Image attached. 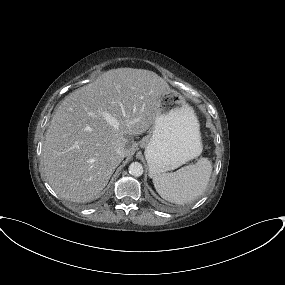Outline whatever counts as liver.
<instances>
[{
	"label": "liver",
	"mask_w": 285,
	"mask_h": 285,
	"mask_svg": "<svg viewBox=\"0 0 285 285\" xmlns=\"http://www.w3.org/2000/svg\"><path fill=\"white\" fill-rule=\"evenodd\" d=\"M164 89L148 70L118 68L69 94L56 109L43 145L44 171L54 191L78 203L97 198L123 158L132 155L130 137L154 125ZM102 112L116 118L118 128ZM119 147L124 157L117 156Z\"/></svg>",
	"instance_id": "obj_1"
}]
</instances>
